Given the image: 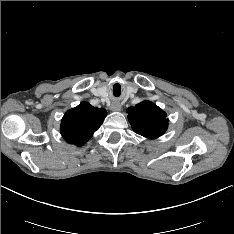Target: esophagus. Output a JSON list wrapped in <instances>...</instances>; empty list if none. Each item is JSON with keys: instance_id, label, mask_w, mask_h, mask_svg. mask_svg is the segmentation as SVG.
<instances>
[{"instance_id": "1", "label": "esophagus", "mask_w": 234, "mask_h": 234, "mask_svg": "<svg viewBox=\"0 0 234 234\" xmlns=\"http://www.w3.org/2000/svg\"><path fill=\"white\" fill-rule=\"evenodd\" d=\"M110 109H111L112 111H120V110H121V105H120V104H112V105L110 106Z\"/></svg>"}]
</instances>
